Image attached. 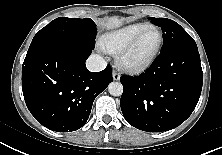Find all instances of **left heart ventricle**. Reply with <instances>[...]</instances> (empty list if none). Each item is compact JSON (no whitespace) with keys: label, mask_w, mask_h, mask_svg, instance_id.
I'll return each mask as SVG.
<instances>
[{"label":"left heart ventricle","mask_w":222,"mask_h":155,"mask_svg":"<svg viewBox=\"0 0 222 155\" xmlns=\"http://www.w3.org/2000/svg\"><path fill=\"white\" fill-rule=\"evenodd\" d=\"M158 42V33L156 31H150L144 36V38L129 55L128 61L134 64H139L146 61L155 50Z\"/></svg>","instance_id":"obj_1"}]
</instances>
